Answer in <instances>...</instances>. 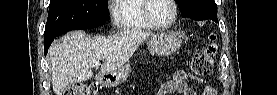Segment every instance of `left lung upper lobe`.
Returning <instances> with one entry per match:
<instances>
[{
    "label": "left lung upper lobe",
    "instance_id": "1",
    "mask_svg": "<svg viewBox=\"0 0 277 95\" xmlns=\"http://www.w3.org/2000/svg\"><path fill=\"white\" fill-rule=\"evenodd\" d=\"M184 18L210 19L217 22V5L214 0H176Z\"/></svg>",
    "mask_w": 277,
    "mask_h": 95
}]
</instances>
